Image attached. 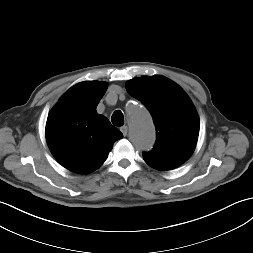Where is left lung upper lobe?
I'll return each mask as SVG.
<instances>
[{
    "instance_id": "left-lung-upper-lobe-1",
    "label": "left lung upper lobe",
    "mask_w": 253,
    "mask_h": 253,
    "mask_svg": "<svg viewBox=\"0 0 253 253\" xmlns=\"http://www.w3.org/2000/svg\"><path fill=\"white\" fill-rule=\"evenodd\" d=\"M128 93L150 111L156 143L144 153L145 162L158 170H171L193 153L199 134L198 114L186 93L170 79L144 76L127 82Z\"/></svg>"
}]
</instances>
